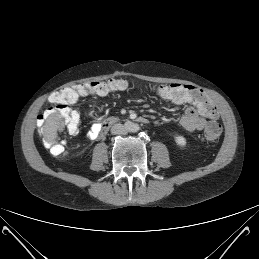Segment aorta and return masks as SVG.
Returning <instances> with one entry per match:
<instances>
[{"mask_svg": "<svg viewBox=\"0 0 259 259\" xmlns=\"http://www.w3.org/2000/svg\"><path fill=\"white\" fill-rule=\"evenodd\" d=\"M127 130L130 132H137L139 130V125L136 123H128L127 125Z\"/></svg>", "mask_w": 259, "mask_h": 259, "instance_id": "1", "label": "aorta"}]
</instances>
